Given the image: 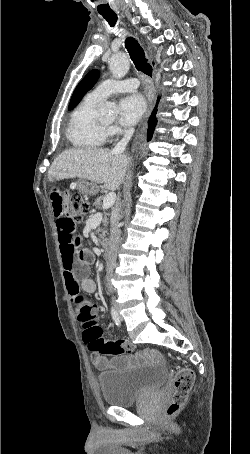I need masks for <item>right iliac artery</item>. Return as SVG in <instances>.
Wrapping results in <instances>:
<instances>
[{
  "mask_svg": "<svg viewBox=\"0 0 250 454\" xmlns=\"http://www.w3.org/2000/svg\"><path fill=\"white\" fill-rule=\"evenodd\" d=\"M111 315H112V319L114 320L116 325H120V320H119V317H118V313L116 312V310L113 307L111 308Z\"/></svg>",
  "mask_w": 250,
  "mask_h": 454,
  "instance_id": "right-iliac-artery-1",
  "label": "right iliac artery"
}]
</instances>
